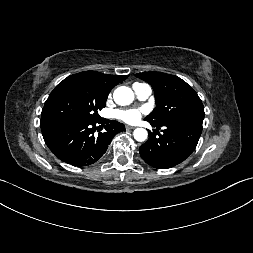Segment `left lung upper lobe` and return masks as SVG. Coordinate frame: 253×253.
Returning a JSON list of instances; mask_svg holds the SVG:
<instances>
[{
    "label": "left lung upper lobe",
    "mask_w": 253,
    "mask_h": 253,
    "mask_svg": "<svg viewBox=\"0 0 253 253\" xmlns=\"http://www.w3.org/2000/svg\"><path fill=\"white\" fill-rule=\"evenodd\" d=\"M135 76L148 82L155 92L156 108L145 118L149 123L161 126L195 117L204 118L201 99L181 78L161 72H143Z\"/></svg>",
    "instance_id": "obj_1"
}]
</instances>
